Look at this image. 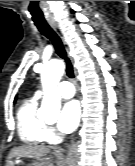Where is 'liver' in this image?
<instances>
[{
	"instance_id": "obj_1",
	"label": "liver",
	"mask_w": 135,
	"mask_h": 166,
	"mask_svg": "<svg viewBox=\"0 0 135 166\" xmlns=\"http://www.w3.org/2000/svg\"><path fill=\"white\" fill-rule=\"evenodd\" d=\"M51 148L43 145H23L19 147L13 148L7 159L8 166L13 158L19 159V158H30V159H41L43 157H46L48 153H50ZM57 158H58V166L62 165L63 155L59 150H54L53 152ZM49 164V162H45Z\"/></svg>"
}]
</instances>
